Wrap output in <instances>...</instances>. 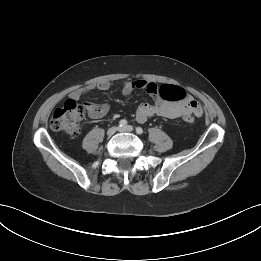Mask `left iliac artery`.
Masks as SVG:
<instances>
[{
	"label": "left iliac artery",
	"instance_id": "1",
	"mask_svg": "<svg viewBox=\"0 0 261 261\" xmlns=\"http://www.w3.org/2000/svg\"><path fill=\"white\" fill-rule=\"evenodd\" d=\"M136 133L137 134H142L143 133V129L141 127H137L136 128Z\"/></svg>",
	"mask_w": 261,
	"mask_h": 261
}]
</instances>
